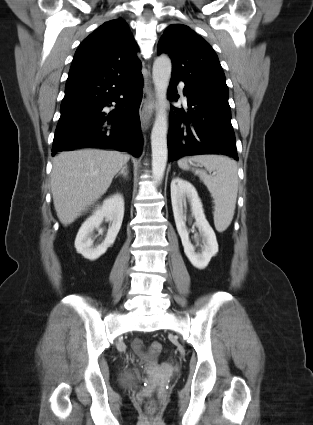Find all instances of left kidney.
I'll use <instances>...</instances> for the list:
<instances>
[{
    "label": "left kidney",
    "mask_w": 313,
    "mask_h": 425,
    "mask_svg": "<svg viewBox=\"0 0 313 425\" xmlns=\"http://www.w3.org/2000/svg\"><path fill=\"white\" fill-rule=\"evenodd\" d=\"M186 200L190 203L192 216L196 220L195 225L202 237L203 250L196 253L194 246L189 240L186 228ZM171 202L176 223V228L184 247V252L191 264L197 269L207 267L211 258L218 252L216 235L205 218L203 206L195 187L188 181L174 178L171 182Z\"/></svg>",
    "instance_id": "1"
}]
</instances>
